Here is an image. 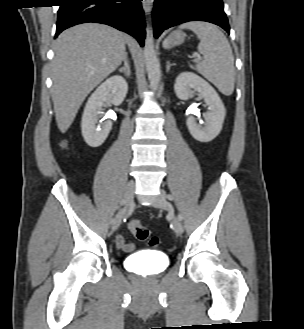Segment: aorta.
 I'll return each mask as SVG.
<instances>
[{
  "mask_svg": "<svg viewBox=\"0 0 304 329\" xmlns=\"http://www.w3.org/2000/svg\"><path fill=\"white\" fill-rule=\"evenodd\" d=\"M144 57L150 87L156 90L160 81V65L154 49L152 29L149 26L146 28Z\"/></svg>",
  "mask_w": 304,
  "mask_h": 329,
  "instance_id": "1",
  "label": "aorta"
}]
</instances>
